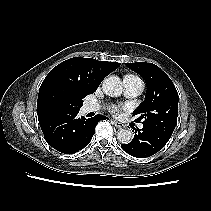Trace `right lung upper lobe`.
<instances>
[{
    "mask_svg": "<svg viewBox=\"0 0 211 211\" xmlns=\"http://www.w3.org/2000/svg\"><path fill=\"white\" fill-rule=\"evenodd\" d=\"M120 63L74 57L53 68L42 82L37 101L38 120L53 113L44 102L47 90L54 85L72 88L85 96L92 94L102 80L116 70Z\"/></svg>",
    "mask_w": 211,
    "mask_h": 211,
    "instance_id": "obj_1",
    "label": "right lung upper lobe"
}]
</instances>
